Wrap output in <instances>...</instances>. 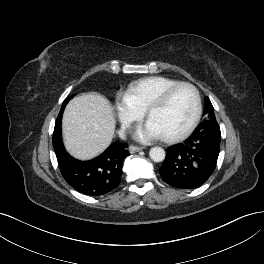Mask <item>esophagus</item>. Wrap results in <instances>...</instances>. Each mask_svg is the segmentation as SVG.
Masks as SVG:
<instances>
[{"label": "esophagus", "instance_id": "obj_1", "mask_svg": "<svg viewBox=\"0 0 264 264\" xmlns=\"http://www.w3.org/2000/svg\"><path fill=\"white\" fill-rule=\"evenodd\" d=\"M143 148L142 147H139V146H134V145H131L129 146V151L131 153H134V152H139L141 151Z\"/></svg>", "mask_w": 264, "mask_h": 264}]
</instances>
